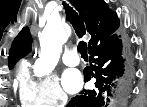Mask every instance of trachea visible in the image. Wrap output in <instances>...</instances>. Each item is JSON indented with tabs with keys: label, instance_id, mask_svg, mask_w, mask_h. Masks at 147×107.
I'll use <instances>...</instances> for the list:
<instances>
[{
	"label": "trachea",
	"instance_id": "3493384b",
	"mask_svg": "<svg viewBox=\"0 0 147 107\" xmlns=\"http://www.w3.org/2000/svg\"><path fill=\"white\" fill-rule=\"evenodd\" d=\"M63 6L67 19H69L70 23L72 24L75 33L79 38H82L85 35L86 31L83 19L80 18L77 12L73 10V8L70 7L67 3L63 2ZM77 48L82 57H87V43L85 41H80Z\"/></svg>",
	"mask_w": 147,
	"mask_h": 107
}]
</instances>
